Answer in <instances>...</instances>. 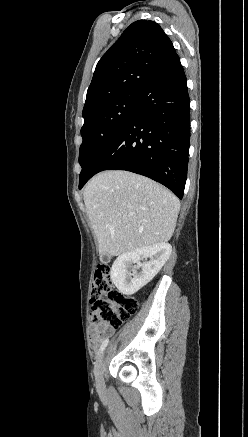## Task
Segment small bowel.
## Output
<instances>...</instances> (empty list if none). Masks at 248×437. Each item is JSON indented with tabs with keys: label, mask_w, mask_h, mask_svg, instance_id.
I'll list each match as a JSON object with an SVG mask.
<instances>
[{
	"label": "small bowel",
	"mask_w": 248,
	"mask_h": 437,
	"mask_svg": "<svg viewBox=\"0 0 248 437\" xmlns=\"http://www.w3.org/2000/svg\"><path fill=\"white\" fill-rule=\"evenodd\" d=\"M113 329L109 326L103 325L99 327H94L91 329V343L93 348H97L102 339L105 336L111 335L113 333Z\"/></svg>",
	"instance_id": "c3829d8e"
}]
</instances>
